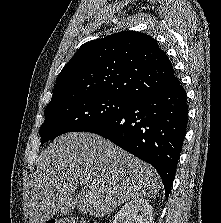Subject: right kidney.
<instances>
[{"mask_svg": "<svg viewBox=\"0 0 221 223\" xmlns=\"http://www.w3.org/2000/svg\"><path fill=\"white\" fill-rule=\"evenodd\" d=\"M141 212V215H138ZM153 209L144 198L133 199L117 212L112 223H153Z\"/></svg>", "mask_w": 221, "mask_h": 223, "instance_id": "right-kidney-1", "label": "right kidney"}]
</instances>
